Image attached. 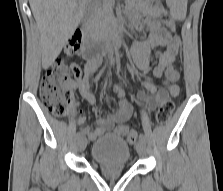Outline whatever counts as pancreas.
I'll list each match as a JSON object with an SVG mask.
<instances>
[{
  "instance_id": "1",
  "label": "pancreas",
  "mask_w": 223,
  "mask_h": 191,
  "mask_svg": "<svg viewBox=\"0 0 223 191\" xmlns=\"http://www.w3.org/2000/svg\"><path fill=\"white\" fill-rule=\"evenodd\" d=\"M114 0H97L90 9V23L96 31L104 30L113 17Z\"/></svg>"
}]
</instances>
